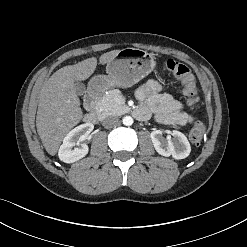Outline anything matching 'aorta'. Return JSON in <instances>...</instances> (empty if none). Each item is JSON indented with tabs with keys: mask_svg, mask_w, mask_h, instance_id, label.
<instances>
[{
	"mask_svg": "<svg viewBox=\"0 0 247 247\" xmlns=\"http://www.w3.org/2000/svg\"><path fill=\"white\" fill-rule=\"evenodd\" d=\"M123 124L126 126H130L133 124V118L131 116H125L123 118Z\"/></svg>",
	"mask_w": 247,
	"mask_h": 247,
	"instance_id": "obj_1",
	"label": "aorta"
}]
</instances>
